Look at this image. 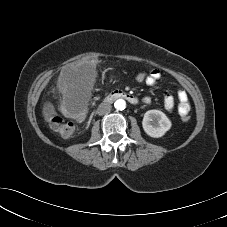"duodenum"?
<instances>
[{"label": "duodenum", "instance_id": "1", "mask_svg": "<svg viewBox=\"0 0 227 227\" xmlns=\"http://www.w3.org/2000/svg\"><path fill=\"white\" fill-rule=\"evenodd\" d=\"M117 99H125L128 102H130L131 104H137L138 103V98L130 93V92H126L124 90H115L112 91L110 94L107 95V97L105 98V102L106 103H110L113 102Z\"/></svg>", "mask_w": 227, "mask_h": 227}]
</instances>
